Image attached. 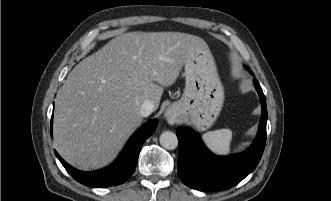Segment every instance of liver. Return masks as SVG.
<instances>
[{"mask_svg":"<svg viewBox=\"0 0 331 201\" xmlns=\"http://www.w3.org/2000/svg\"><path fill=\"white\" fill-rule=\"evenodd\" d=\"M207 46L181 32H129L110 40L69 73L56 100L53 135L58 153L80 170L116 157L143 120L145 100L159 106L188 56Z\"/></svg>","mask_w":331,"mask_h":201,"instance_id":"obj_1","label":"liver"}]
</instances>
